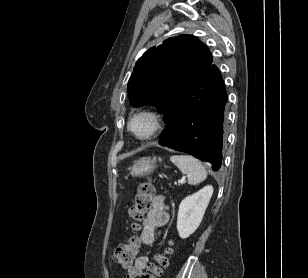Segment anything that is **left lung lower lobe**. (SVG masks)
Wrapping results in <instances>:
<instances>
[{
    "instance_id": "obj_1",
    "label": "left lung lower lobe",
    "mask_w": 308,
    "mask_h": 278,
    "mask_svg": "<svg viewBox=\"0 0 308 278\" xmlns=\"http://www.w3.org/2000/svg\"><path fill=\"white\" fill-rule=\"evenodd\" d=\"M227 93L215 65L189 82L164 113L159 144L221 167Z\"/></svg>"
}]
</instances>
